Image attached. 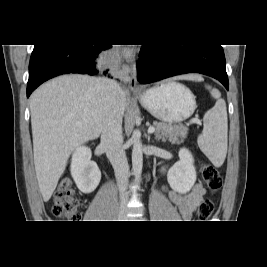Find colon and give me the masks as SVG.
<instances>
[{
	"instance_id": "1",
	"label": "colon",
	"mask_w": 267,
	"mask_h": 267,
	"mask_svg": "<svg viewBox=\"0 0 267 267\" xmlns=\"http://www.w3.org/2000/svg\"><path fill=\"white\" fill-rule=\"evenodd\" d=\"M202 178L211 193L217 192L222 186V177L219 171L209 165L203 164L201 168ZM214 211V203L210 198H205L198 208V219H209ZM52 212L56 217L66 220H77L80 217L79 201L75 196L72 184L69 180H63L54 193Z\"/></svg>"
}]
</instances>
